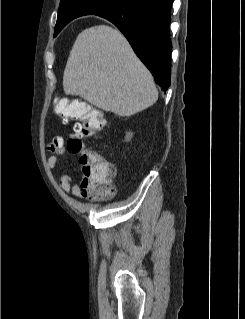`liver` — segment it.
<instances>
[{
    "label": "liver",
    "instance_id": "liver-1",
    "mask_svg": "<svg viewBox=\"0 0 245 319\" xmlns=\"http://www.w3.org/2000/svg\"><path fill=\"white\" fill-rule=\"evenodd\" d=\"M63 89L119 116L134 115L158 99L151 73L125 37L106 25L78 35L64 70Z\"/></svg>",
    "mask_w": 245,
    "mask_h": 319
}]
</instances>
